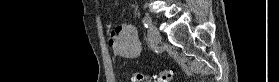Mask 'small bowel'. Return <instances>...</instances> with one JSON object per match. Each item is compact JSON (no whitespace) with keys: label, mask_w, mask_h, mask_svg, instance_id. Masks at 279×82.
Returning <instances> with one entry per match:
<instances>
[{"label":"small bowel","mask_w":279,"mask_h":82,"mask_svg":"<svg viewBox=\"0 0 279 82\" xmlns=\"http://www.w3.org/2000/svg\"><path fill=\"white\" fill-rule=\"evenodd\" d=\"M109 44L117 57L132 59L141 52V43L133 25H122L112 29Z\"/></svg>","instance_id":"c3829d8e"}]
</instances>
